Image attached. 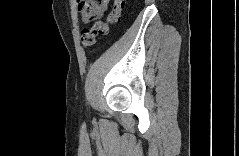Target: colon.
Masks as SVG:
<instances>
[{
	"instance_id": "1",
	"label": "colon",
	"mask_w": 239,
	"mask_h": 156,
	"mask_svg": "<svg viewBox=\"0 0 239 156\" xmlns=\"http://www.w3.org/2000/svg\"><path fill=\"white\" fill-rule=\"evenodd\" d=\"M123 2L115 0L111 10L108 13L106 22H99L91 28H85L81 33V44L84 48L92 46L98 36H103L108 33L109 25L116 23L119 20Z\"/></svg>"
}]
</instances>
